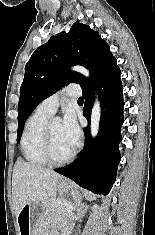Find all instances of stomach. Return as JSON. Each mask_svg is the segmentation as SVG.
Returning a JSON list of instances; mask_svg holds the SVG:
<instances>
[{
	"instance_id": "0dacf381",
	"label": "stomach",
	"mask_w": 155,
	"mask_h": 235,
	"mask_svg": "<svg viewBox=\"0 0 155 235\" xmlns=\"http://www.w3.org/2000/svg\"><path fill=\"white\" fill-rule=\"evenodd\" d=\"M59 197L67 204H79L81 194L70 181L58 182ZM45 202H32L26 204L17 217L19 235H40L39 225L45 214Z\"/></svg>"
}]
</instances>
